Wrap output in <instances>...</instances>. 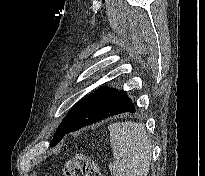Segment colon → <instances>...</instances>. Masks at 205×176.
<instances>
[{
  "instance_id": "obj_1",
  "label": "colon",
  "mask_w": 205,
  "mask_h": 176,
  "mask_svg": "<svg viewBox=\"0 0 205 176\" xmlns=\"http://www.w3.org/2000/svg\"><path fill=\"white\" fill-rule=\"evenodd\" d=\"M76 172L81 176H103L97 163L83 153L76 154L67 162L63 176H75Z\"/></svg>"
}]
</instances>
